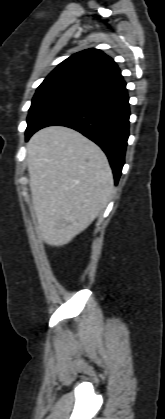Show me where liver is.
Instances as JSON below:
<instances>
[{
	"label": "liver",
	"instance_id": "liver-1",
	"mask_svg": "<svg viewBox=\"0 0 165 419\" xmlns=\"http://www.w3.org/2000/svg\"><path fill=\"white\" fill-rule=\"evenodd\" d=\"M33 209L40 238L63 246L104 210L114 187L108 159L79 132L51 126L27 144Z\"/></svg>",
	"mask_w": 165,
	"mask_h": 419
}]
</instances>
